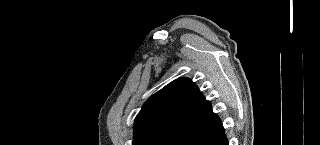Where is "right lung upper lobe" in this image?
Returning <instances> with one entry per match:
<instances>
[{"instance_id":"1","label":"right lung upper lobe","mask_w":320,"mask_h":145,"mask_svg":"<svg viewBox=\"0 0 320 145\" xmlns=\"http://www.w3.org/2000/svg\"><path fill=\"white\" fill-rule=\"evenodd\" d=\"M215 116L211 103L190 79H176L154 94L136 116L133 145L158 134H178Z\"/></svg>"}]
</instances>
